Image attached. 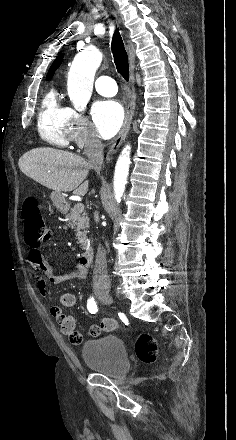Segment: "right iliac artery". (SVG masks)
Masks as SVG:
<instances>
[{
    "instance_id": "obj_1",
    "label": "right iliac artery",
    "mask_w": 236,
    "mask_h": 440,
    "mask_svg": "<svg viewBox=\"0 0 236 440\" xmlns=\"http://www.w3.org/2000/svg\"><path fill=\"white\" fill-rule=\"evenodd\" d=\"M87 309L91 314H95L98 311L97 304L93 297H91L87 302Z\"/></svg>"
}]
</instances>
